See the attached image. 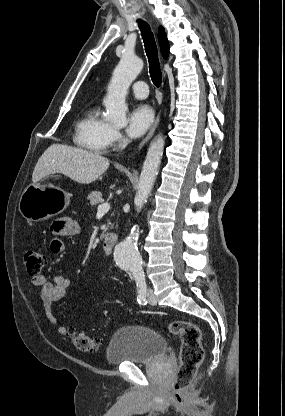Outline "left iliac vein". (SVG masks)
<instances>
[{
  "label": "left iliac vein",
  "mask_w": 285,
  "mask_h": 416,
  "mask_svg": "<svg viewBox=\"0 0 285 416\" xmlns=\"http://www.w3.org/2000/svg\"><path fill=\"white\" fill-rule=\"evenodd\" d=\"M147 297H148V302L150 304H152V305H155L156 304L157 300H156V298L154 296L153 290L150 289V288L147 290Z\"/></svg>",
  "instance_id": "4c4485c4"
}]
</instances>
